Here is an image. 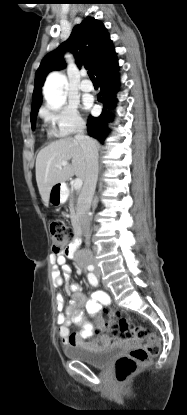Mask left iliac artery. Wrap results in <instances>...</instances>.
<instances>
[{"label": "left iliac artery", "mask_w": 187, "mask_h": 415, "mask_svg": "<svg viewBox=\"0 0 187 415\" xmlns=\"http://www.w3.org/2000/svg\"><path fill=\"white\" fill-rule=\"evenodd\" d=\"M88 280H89L90 284H92L94 286H96L98 284V281H97V279H96V277L94 276L93 273H89Z\"/></svg>", "instance_id": "44dca946"}]
</instances>
